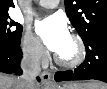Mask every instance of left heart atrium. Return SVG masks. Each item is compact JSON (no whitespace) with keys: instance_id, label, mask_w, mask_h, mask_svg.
<instances>
[{"instance_id":"obj_1","label":"left heart atrium","mask_w":107,"mask_h":89,"mask_svg":"<svg viewBox=\"0 0 107 89\" xmlns=\"http://www.w3.org/2000/svg\"><path fill=\"white\" fill-rule=\"evenodd\" d=\"M36 32L52 52L60 53L70 40L65 21L58 15L49 16L36 23Z\"/></svg>"}]
</instances>
